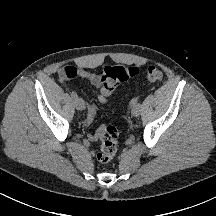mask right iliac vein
<instances>
[{"label":"right iliac vein","instance_id":"right-iliac-vein-1","mask_svg":"<svg viewBox=\"0 0 216 216\" xmlns=\"http://www.w3.org/2000/svg\"><path fill=\"white\" fill-rule=\"evenodd\" d=\"M74 103H75L76 109H78V110H84L85 109V103H84L83 99L76 98Z\"/></svg>","mask_w":216,"mask_h":216}]
</instances>
